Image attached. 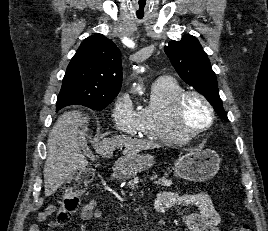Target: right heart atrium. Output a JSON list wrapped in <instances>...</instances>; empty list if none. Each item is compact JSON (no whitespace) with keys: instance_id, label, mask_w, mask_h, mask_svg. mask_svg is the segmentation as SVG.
I'll return each mask as SVG.
<instances>
[{"instance_id":"obj_1","label":"right heart atrium","mask_w":268,"mask_h":231,"mask_svg":"<svg viewBox=\"0 0 268 231\" xmlns=\"http://www.w3.org/2000/svg\"><path fill=\"white\" fill-rule=\"evenodd\" d=\"M112 118L120 131L128 134L140 131L139 111L135 109L129 92H122L114 101Z\"/></svg>"}]
</instances>
